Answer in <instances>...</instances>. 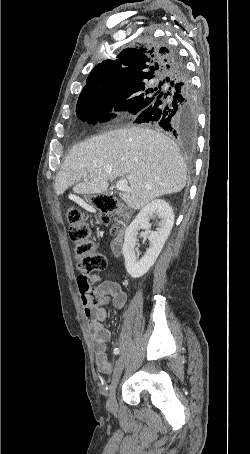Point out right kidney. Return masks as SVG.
I'll list each match as a JSON object with an SVG mask.
<instances>
[{"mask_svg": "<svg viewBox=\"0 0 250 454\" xmlns=\"http://www.w3.org/2000/svg\"><path fill=\"white\" fill-rule=\"evenodd\" d=\"M160 219L156 231H149L150 218ZM174 224V213L171 206L163 199H155L143 207L125 231L122 253L125 268L132 278L146 274L156 262ZM144 229L149 233L150 247L144 256L138 260L135 252L138 230Z\"/></svg>", "mask_w": 250, "mask_h": 454, "instance_id": "1", "label": "right kidney"}]
</instances>
